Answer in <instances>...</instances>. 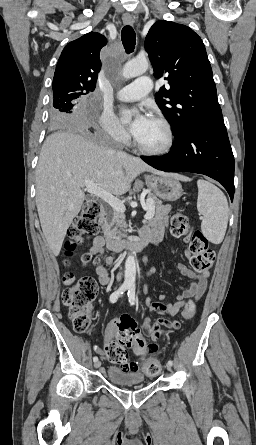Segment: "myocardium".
I'll list each match as a JSON object with an SVG mask.
<instances>
[{
	"instance_id": "obj_1",
	"label": "myocardium",
	"mask_w": 256,
	"mask_h": 445,
	"mask_svg": "<svg viewBox=\"0 0 256 445\" xmlns=\"http://www.w3.org/2000/svg\"><path fill=\"white\" fill-rule=\"evenodd\" d=\"M151 119L156 121L157 123H159L164 128L165 133H166L165 144L159 148H153V149L146 148V147L142 146L141 144H139L138 141L136 140V138L134 137L133 145L139 152L146 154V155H151V156L165 155L168 152H170L174 146L175 135H174L173 128H172L170 122L162 116H153Z\"/></svg>"
}]
</instances>
